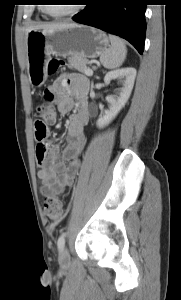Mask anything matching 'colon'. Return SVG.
Masks as SVG:
<instances>
[{
  "mask_svg": "<svg viewBox=\"0 0 181 300\" xmlns=\"http://www.w3.org/2000/svg\"><path fill=\"white\" fill-rule=\"evenodd\" d=\"M65 62L60 58H54L49 62L48 75H54L63 66ZM46 103L38 105L35 109L36 116L40 119L34 125L35 139L37 145L44 144L48 136L47 123H51L56 118V109L52 105L53 96L45 93ZM44 213L52 223H58L63 220L65 214L62 208V199L57 195L48 196L44 201Z\"/></svg>",
  "mask_w": 181,
  "mask_h": 300,
  "instance_id": "obj_1",
  "label": "colon"
}]
</instances>
